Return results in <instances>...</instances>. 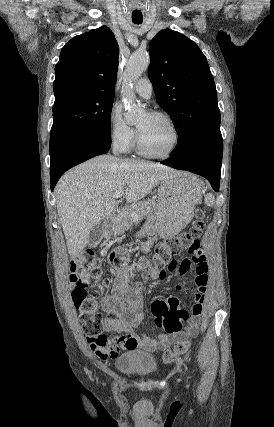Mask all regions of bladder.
Here are the masks:
<instances>
[{"label": "bladder", "instance_id": "bladder-1", "mask_svg": "<svg viewBox=\"0 0 274 427\" xmlns=\"http://www.w3.org/2000/svg\"><path fill=\"white\" fill-rule=\"evenodd\" d=\"M115 368L119 374L148 377L158 372L156 356L146 351L132 349L118 356Z\"/></svg>", "mask_w": 274, "mask_h": 427}]
</instances>
